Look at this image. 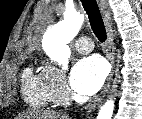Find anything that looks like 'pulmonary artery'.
<instances>
[{
  "mask_svg": "<svg viewBox=\"0 0 142 119\" xmlns=\"http://www.w3.org/2000/svg\"><path fill=\"white\" fill-rule=\"evenodd\" d=\"M94 44L88 37H81L75 41V49L79 53H89L93 50Z\"/></svg>",
  "mask_w": 142,
  "mask_h": 119,
  "instance_id": "e3ab8cb5",
  "label": "pulmonary artery"
}]
</instances>
